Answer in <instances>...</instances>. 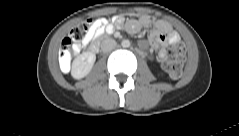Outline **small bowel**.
<instances>
[{
	"instance_id": "1",
	"label": "small bowel",
	"mask_w": 239,
	"mask_h": 136,
	"mask_svg": "<svg viewBox=\"0 0 239 136\" xmlns=\"http://www.w3.org/2000/svg\"><path fill=\"white\" fill-rule=\"evenodd\" d=\"M126 27L127 31L131 34H137L143 27H154V30L149 33V40L154 47L160 44H175L180 41L179 34L174 31L170 24L164 20L153 21L148 16H141L138 19H132L125 22L122 16H116L112 19L111 23L106 20H96L95 25L91 29L88 36L78 44L77 48L82 49L87 46L91 40L103 32L112 33L118 28ZM145 45V43H142ZM167 56L165 48L158 51L157 57L159 61H164Z\"/></svg>"
}]
</instances>
